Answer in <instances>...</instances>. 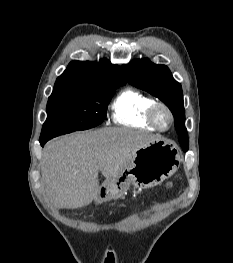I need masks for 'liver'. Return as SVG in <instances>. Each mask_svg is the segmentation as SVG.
<instances>
[{
	"label": "liver",
	"mask_w": 233,
	"mask_h": 263,
	"mask_svg": "<svg viewBox=\"0 0 233 263\" xmlns=\"http://www.w3.org/2000/svg\"><path fill=\"white\" fill-rule=\"evenodd\" d=\"M156 138L128 128H104L48 142L41 174L51 203L68 209L89 205L99 195L98 173L113 179L135 149Z\"/></svg>",
	"instance_id": "1"
}]
</instances>
